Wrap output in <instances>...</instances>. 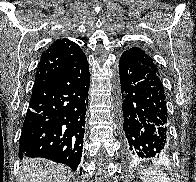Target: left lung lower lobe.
<instances>
[{
    "instance_id": "0a47b994",
    "label": "left lung lower lobe",
    "mask_w": 196,
    "mask_h": 182,
    "mask_svg": "<svg viewBox=\"0 0 196 182\" xmlns=\"http://www.w3.org/2000/svg\"><path fill=\"white\" fill-rule=\"evenodd\" d=\"M119 74L127 157H165L169 129L165 92L159 75L127 55L120 58Z\"/></svg>"
}]
</instances>
